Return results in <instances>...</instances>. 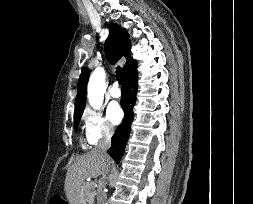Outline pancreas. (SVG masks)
Masks as SVG:
<instances>
[{
	"label": "pancreas",
	"instance_id": "cf45deb5",
	"mask_svg": "<svg viewBox=\"0 0 253 204\" xmlns=\"http://www.w3.org/2000/svg\"><path fill=\"white\" fill-rule=\"evenodd\" d=\"M96 195L95 185L93 183L84 182L82 185V196L87 204H94Z\"/></svg>",
	"mask_w": 253,
	"mask_h": 204
}]
</instances>
